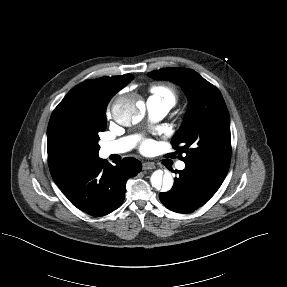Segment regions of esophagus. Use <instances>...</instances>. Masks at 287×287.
<instances>
[{
	"label": "esophagus",
	"mask_w": 287,
	"mask_h": 287,
	"mask_svg": "<svg viewBox=\"0 0 287 287\" xmlns=\"http://www.w3.org/2000/svg\"><path fill=\"white\" fill-rule=\"evenodd\" d=\"M152 169H155L154 163L151 162L143 163V170H152Z\"/></svg>",
	"instance_id": "1"
}]
</instances>
